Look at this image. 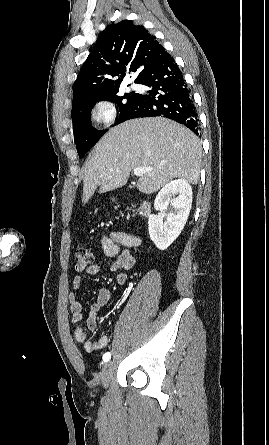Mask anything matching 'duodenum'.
<instances>
[{"instance_id": "410a0bca", "label": "duodenum", "mask_w": 269, "mask_h": 445, "mask_svg": "<svg viewBox=\"0 0 269 445\" xmlns=\"http://www.w3.org/2000/svg\"><path fill=\"white\" fill-rule=\"evenodd\" d=\"M150 206L147 202H143L142 204V215L147 216L149 214Z\"/></svg>"}]
</instances>
